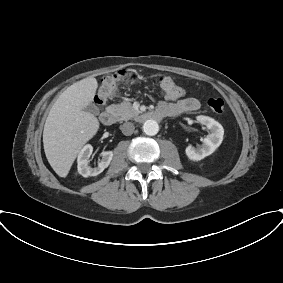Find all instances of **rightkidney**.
<instances>
[{
	"instance_id": "right-kidney-1",
	"label": "right kidney",
	"mask_w": 283,
	"mask_h": 283,
	"mask_svg": "<svg viewBox=\"0 0 283 283\" xmlns=\"http://www.w3.org/2000/svg\"><path fill=\"white\" fill-rule=\"evenodd\" d=\"M93 147L90 144L85 145L81 151L79 152L78 159H77V168L80 175L83 177H89V176H97L101 172L104 171L105 168H107L113 158V152L112 151H104L101 155V160L98 163L97 167L91 168L89 163V158L92 154Z\"/></svg>"
}]
</instances>
